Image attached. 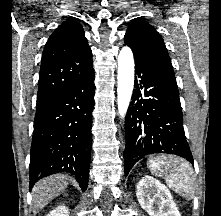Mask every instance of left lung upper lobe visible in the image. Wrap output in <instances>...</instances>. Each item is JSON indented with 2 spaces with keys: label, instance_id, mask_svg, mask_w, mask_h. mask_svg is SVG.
I'll list each match as a JSON object with an SVG mask.
<instances>
[{
  "label": "left lung upper lobe",
  "instance_id": "obj_1",
  "mask_svg": "<svg viewBox=\"0 0 221 216\" xmlns=\"http://www.w3.org/2000/svg\"><path fill=\"white\" fill-rule=\"evenodd\" d=\"M124 42L137 56L165 66L174 73L163 38L143 19L135 18L130 22Z\"/></svg>",
  "mask_w": 221,
  "mask_h": 216
}]
</instances>
